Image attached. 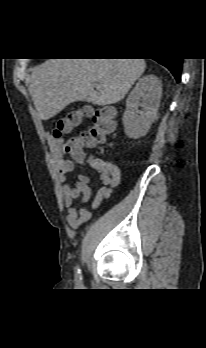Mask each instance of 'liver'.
Returning a JSON list of instances; mask_svg holds the SVG:
<instances>
[{
    "instance_id": "1",
    "label": "liver",
    "mask_w": 206,
    "mask_h": 348,
    "mask_svg": "<svg viewBox=\"0 0 206 348\" xmlns=\"http://www.w3.org/2000/svg\"><path fill=\"white\" fill-rule=\"evenodd\" d=\"M145 68L144 59H48L33 69L29 90L40 118L48 120L72 102H119Z\"/></svg>"
}]
</instances>
